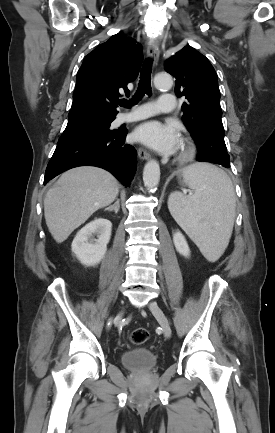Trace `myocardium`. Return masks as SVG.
Returning <instances> with one entry per match:
<instances>
[{"label":"myocardium","mask_w":275,"mask_h":433,"mask_svg":"<svg viewBox=\"0 0 275 433\" xmlns=\"http://www.w3.org/2000/svg\"><path fill=\"white\" fill-rule=\"evenodd\" d=\"M195 153V147L188 138H183L179 144L177 160L181 163L190 161Z\"/></svg>","instance_id":"myocardium-1"}]
</instances>
